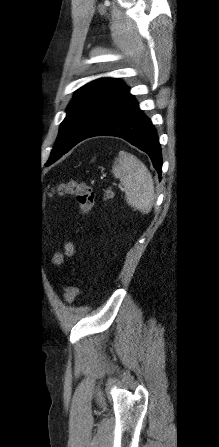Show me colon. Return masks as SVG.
<instances>
[{"label": "colon", "mask_w": 219, "mask_h": 447, "mask_svg": "<svg viewBox=\"0 0 219 447\" xmlns=\"http://www.w3.org/2000/svg\"><path fill=\"white\" fill-rule=\"evenodd\" d=\"M53 195L74 196L82 214H89L94 206V192L91 186L85 182L76 179L62 181L56 185L52 192ZM79 294V290L75 285L69 284L65 286V302L71 304L75 301Z\"/></svg>", "instance_id": "5ec220e1"}]
</instances>
